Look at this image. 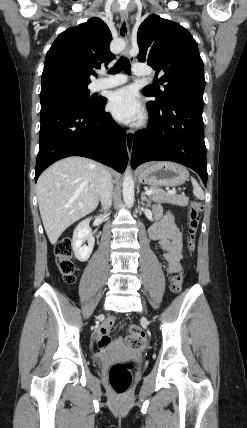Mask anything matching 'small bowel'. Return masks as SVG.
Returning a JSON list of instances; mask_svg holds the SVG:
<instances>
[{"label": "small bowel", "mask_w": 247, "mask_h": 428, "mask_svg": "<svg viewBox=\"0 0 247 428\" xmlns=\"http://www.w3.org/2000/svg\"><path fill=\"white\" fill-rule=\"evenodd\" d=\"M156 215L158 221L150 228V237L153 240L159 241L164 251V259L167 262V273L173 274L181 268L182 233L175 225L171 214L162 215L161 211L157 208ZM101 336L102 331L100 330L97 338L99 339Z\"/></svg>", "instance_id": "small-bowel-1"}]
</instances>
